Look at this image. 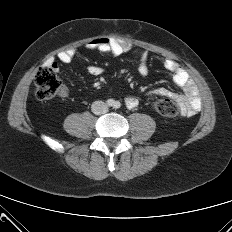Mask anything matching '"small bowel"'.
Returning <instances> with one entry per match:
<instances>
[{"label":"small bowel","instance_id":"small-bowel-1","mask_svg":"<svg viewBox=\"0 0 232 232\" xmlns=\"http://www.w3.org/2000/svg\"><path fill=\"white\" fill-rule=\"evenodd\" d=\"M89 50L99 51L102 54L119 55L132 50V46L129 43L122 41L115 37H100L92 40L86 45ZM75 57V50L67 49L58 54V61L61 64L70 63ZM140 64L138 66V73L146 77L149 75V52L145 49L140 51ZM163 68L168 73L170 81L177 87H179L183 94H178L172 90L158 87L151 90L152 96H161L170 98L176 101L185 116H193L200 111L201 99L198 94L197 87L188 74V72L180 66L176 61L170 58L163 59ZM55 69L59 70V64L53 62ZM87 70L92 75H100L103 69L98 65H89ZM68 90L66 87L61 89V96H66ZM139 104V99L134 95H128L125 98V105L128 109H133Z\"/></svg>","mask_w":232,"mask_h":232}]
</instances>
